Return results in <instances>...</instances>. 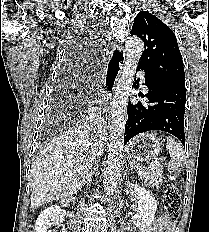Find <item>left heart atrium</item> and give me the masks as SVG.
I'll return each mask as SVG.
<instances>
[{
	"mask_svg": "<svg viewBox=\"0 0 209 232\" xmlns=\"http://www.w3.org/2000/svg\"><path fill=\"white\" fill-rule=\"evenodd\" d=\"M99 101L106 102L108 100V96L105 93H101L98 97Z\"/></svg>",
	"mask_w": 209,
	"mask_h": 232,
	"instance_id": "1",
	"label": "left heart atrium"
}]
</instances>
